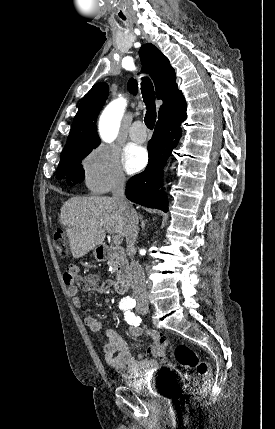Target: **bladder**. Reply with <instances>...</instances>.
Wrapping results in <instances>:
<instances>
[{
  "label": "bladder",
  "mask_w": 275,
  "mask_h": 429,
  "mask_svg": "<svg viewBox=\"0 0 275 429\" xmlns=\"http://www.w3.org/2000/svg\"><path fill=\"white\" fill-rule=\"evenodd\" d=\"M131 393L149 398L150 403H177L179 391L176 377L131 378Z\"/></svg>",
  "instance_id": "31cf9c89"
}]
</instances>
